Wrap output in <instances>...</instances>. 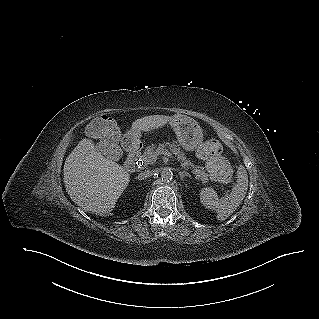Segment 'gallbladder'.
I'll return each instance as SVG.
<instances>
[{"mask_svg":"<svg viewBox=\"0 0 319 319\" xmlns=\"http://www.w3.org/2000/svg\"><path fill=\"white\" fill-rule=\"evenodd\" d=\"M119 146L117 143H107L106 146L103 147V153L109 159H115L116 156L113 154V151L118 150Z\"/></svg>","mask_w":319,"mask_h":319,"instance_id":"bac80fb5","label":"gallbladder"}]
</instances>
